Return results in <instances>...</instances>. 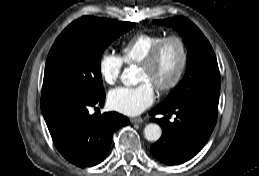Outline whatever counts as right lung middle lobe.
Listing matches in <instances>:
<instances>
[{
	"label": "right lung middle lobe",
	"instance_id": "right-lung-middle-lobe-1",
	"mask_svg": "<svg viewBox=\"0 0 259 176\" xmlns=\"http://www.w3.org/2000/svg\"><path fill=\"white\" fill-rule=\"evenodd\" d=\"M134 22L83 16L55 40L48 54L42 94L67 92L82 96L104 91L100 61L108 45Z\"/></svg>",
	"mask_w": 259,
	"mask_h": 176
}]
</instances>
